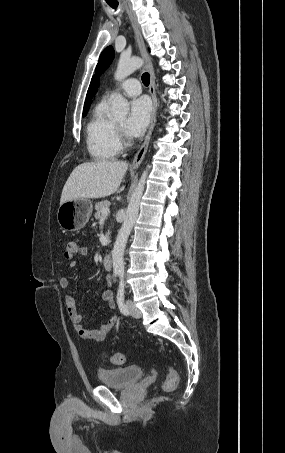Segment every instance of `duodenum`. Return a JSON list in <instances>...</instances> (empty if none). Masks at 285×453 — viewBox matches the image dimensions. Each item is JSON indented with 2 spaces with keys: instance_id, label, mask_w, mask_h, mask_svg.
<instances>
[{
  "instance_id": "duodenum-1",
  "label": "duodenum",
  "mask_w": 285,
  "mask_h": 453,
  "mask_svg": "<svg viewBox=\"0 0 285 453\" xmlns=\"http://www.w3.org/2000/svg\"><path fill=\"white\" fill-rule=\"evenodd\" d=\"M103 265L106 269H111L112 268V257L109 254H105L103 256Z\"/></svg>"
}]
</instances>
